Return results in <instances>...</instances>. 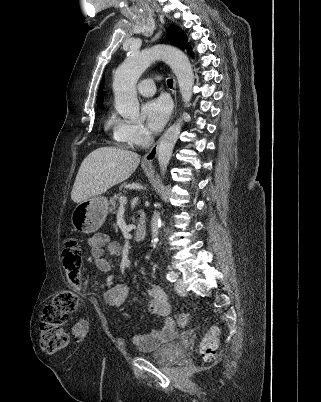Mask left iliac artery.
<instances>
[{
  "mask_svg": "<svg viewBox=\"0 0 321 402\" xmlns=\"http://www.w3.org/2000/svg\"><path fill=\"white\" fill-rule=\"evenodd\" d=\"M177 274L174 271H171L167 274V279L171 282H175L177 279Z\"/></svg>",
  "mask_w": 321,
  "mask_h": 402,
  "instance_id": "1",
  "label": "left iliac artery"
}]
</instances>
